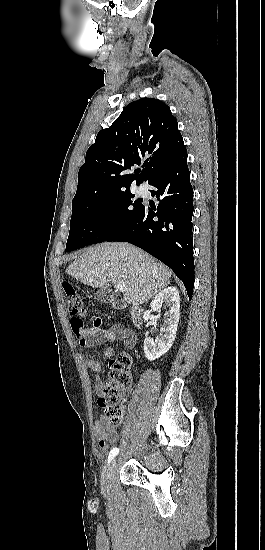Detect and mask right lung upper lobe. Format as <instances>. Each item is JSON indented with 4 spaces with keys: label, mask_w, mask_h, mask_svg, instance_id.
<instances>
[{
    "label": "right lung upper lobe",
    "mask_w": 265,
    "mask_h": 550,
    "mask_svg": "<svg viewBox=\"0 0 265 550\" xmlns=\"http://www.w3.org/2000/svg\"><path fill=\"white\" fill-rule=\"evenodd\" d=\"M177 126L168 105L158 99L141 98L128 104L87 150L75 197L128 191L134 181L150 183L185 148ZM141 161V174L128 173Z\"/></svg>",
    "instance_id": "obj_1"
}]
</instances>
